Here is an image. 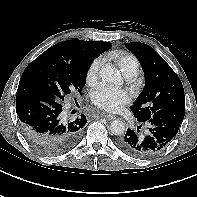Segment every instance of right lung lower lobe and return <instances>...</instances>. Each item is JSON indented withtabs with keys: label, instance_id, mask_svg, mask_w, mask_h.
I'll list each match as a JSON object with an SVG mask.
<instances>
[{
	"label": "right lung lower lobe",
	"instance_id": "98d812e1",
	"mask_svg": "<svg viewBox=\"0 0 197 197\" xmlns=\"http://www.w3.org/2000/svg\"><path fill=\"white\" fill-rule=\"evenodd\" d=\"M16 112L23 133L46 153L59 154L79 140L87 120L84 115L67 119L62 103L44 87L20 81Z\"/></svg>",
	"mask_w": 197,
	"mask_h": 197
}]
</instances>
